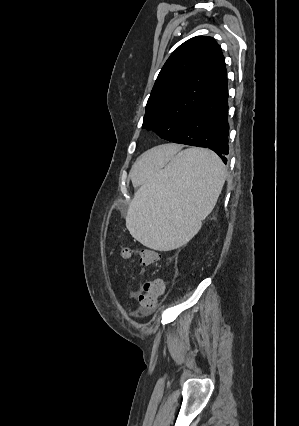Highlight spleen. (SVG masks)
I'll return each mask as SVG.
<instances>
[{
	"label": "spleen",
	"mask_w": 299,
	"mask_h": 426,
	"mask_svg": "<svg viewBox=\"0 0 299 426\" xmlns=\"http://www.w3.org/2000/svg\"><path fill=\"white\" fill-rule=\"evenodd\" d=\"M226 179L212 151L189 148L149 174L136 191L126 227L144 246L169 251L187 243L213 210Z\"/></svg>",
	"instance_id": "1"
}]
</instances>
